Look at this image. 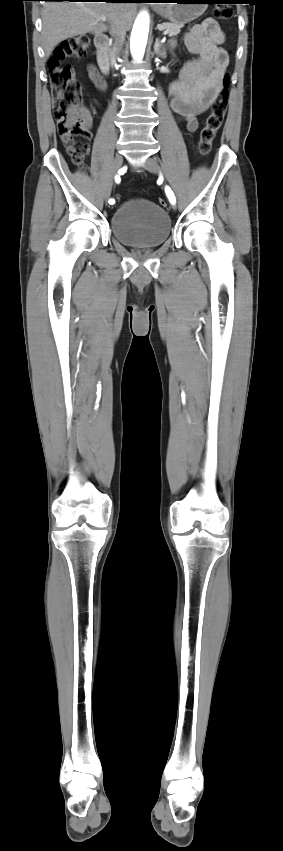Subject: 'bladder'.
<instances>
[{
  "mask_svg": "<svg viewBox=\"0 0 283 851\" xmlns=\"http://www.w3.org/2000/svg\"><path fill=\"white\" fill-rule=\"evenodd\" d=\"M110 228L113 236L125 245L150 248L169 237L171 220L164 208L139 198L126 201L114 210Z\"/></svg>",
  "mask_w": 283,
  "mask_h": 851,
  "instance_id": "bladder-1",
  "label": "bladder"
}]
</instances>
